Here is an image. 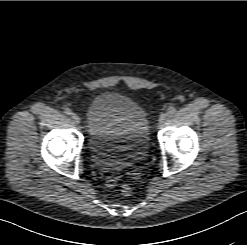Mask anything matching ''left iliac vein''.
<instances>
[{
    "instance_id": "obj_1",
    "label": "left iliac vein",
    "mask_w": 247,
    "mask_h": 245,
    "mask_svg": "<svg viewBox=\"0 0 247 245\" xmlns=\"http://www.w3.org/2000/svg\"><path fill=\"white\" fill-rule=\"evenodd\" d=\"M167 119V113H162L159 117L158 124L159 126H163Z\"/></svg>"
}]
</instances>
